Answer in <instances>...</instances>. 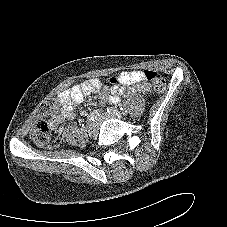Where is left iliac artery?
<instances>
[{"label": "left iliac artery", "instance_id": "44dca946", "mask_svg": "<svg viewBox=\"0 0 227 227\" xmlns=\"http://www.w3.org/2000/svg\"><path fill=\"white\" fill-rule=\"evenodd\" d=\"M107 112H108L109 114L120 115L121 112H122L123 114H125L127 111L125 110V108H124V109L121 108V112H120V111H118V110L115 109V108L109 107V108H107Z\"/></svg>", "mask_w": 227, "mask_h": 227}]
</instances>
